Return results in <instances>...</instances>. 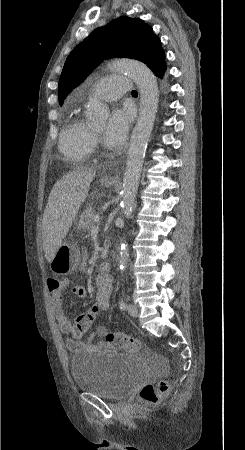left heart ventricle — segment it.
Instances as JSON below:
<instances>
[{"label": "left heart ventricle", "instance_id": "left-heart-ventricle-1", "mask_svg": "<svg viewBox=\"0 0 245 450\" xmlns=\"http://www.w3.org/2000/svg\"><path fill=\"white\" fill-rule=\"evenodd\" d=\"M94 129L98 134H102L104 130V125L95 126Z\"/></svg>", "mask_w": 245, "mask_h": 450}]
</instances>
